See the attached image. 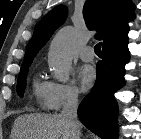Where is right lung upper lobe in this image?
<instances>
[{"label": "right lung upper lobe", "instance_id": "obj_1", "mask_svg": "<svg viewBox=\"0 0 141 139\" xmlns=\"http://www.w3.org/2000/svg\"><path fill=\"white\" fill-rule=\"evenodd\" d=\"M134 8L131 0H87L83 15L87 27L98 31L95 37L103 40L102 47H105L127 37L128 22L134 18ZM65 17L66 8L62 5L44 16L30 40L22 67L30 66L55 29L65 21Z\"/></svg>", "mask_w": 141, "mask_h": 139}]
</instances>
